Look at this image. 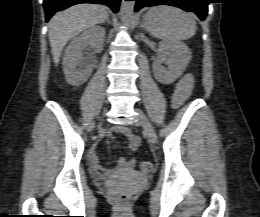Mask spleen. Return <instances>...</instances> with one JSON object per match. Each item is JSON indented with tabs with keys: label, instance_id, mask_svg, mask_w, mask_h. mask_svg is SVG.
I'll list each match as a JSON object with an SVG mask.
<instances>
[{
	"label": "spleen",
	"instance_id": "spleen-1",
	"mask_svg": "<svg viewBox=\"0 0 260 217\" xmlns=\"http://www.w3.org/2000/svg\"><path fill=\"white\" fill-rule=\"evenodd\" d=\"M145 20L150 34L164 41L189 39L196 32L193 16L176 7H153L146 14Z\"/></svg>",
	"mask_w": 260,
	"mask_h": 217
}]
</instances>
